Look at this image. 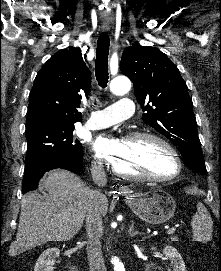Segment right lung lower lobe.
<instances>
[{
    "label": "right lung lower lobe",
    "mask_w": 221,
    "mask_h": 271,
    "mask_svg": "<svg viewBox=\"0 0 221 271\" xmlns=\"http://www.w3.org/2000/svg\"><path fill=\"white\" fill-rule=\"evenodd\" d=\"M83 152L69 159H52L27 164L24 170L22 193L35 190L46 171L54 168L67 169L74 173L81 172Z\"/></svg>",
    "instance_id": "1"
}]
</instances>
